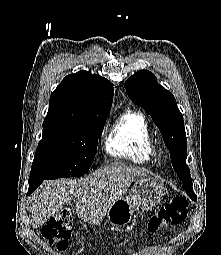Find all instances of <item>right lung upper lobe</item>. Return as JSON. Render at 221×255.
<instances>
[{
    "instance_id": "cb5924a9",
    "label": "right lung upper lobe",
    "mask_w": 221,
    "mask_h": 255,
    "mask_svg": "<svg viewBox=\"0 0 221 255\" xmlns=\"http://www.w3.org/2000/svg\"><path fill=\"white\" fill-rule=\"evenodd\" d=\"M113 84L100 75L81 70L66 76L50 97L45 120L88 123L110 111Z\"/></svg>"
}]
</instances>
